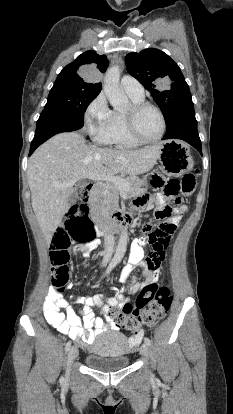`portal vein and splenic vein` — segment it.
<instances>
[{
  "instance_id": "portal-vein-and-splenic-vein-1",
  "label": "portal vein and splenic vein",
  "mask_w": 233,
  "mask_h": 414,
  "mask_svg": "<svg viewBox=\"0 0 233 414\" xmlns=\"http://www.w3.org/2000/svg\"><path fill=\"white\" fill-rule=\"evenodd\" d=\"M88 179L91 180H100L105 181L106 183L111 182L120 189L127 190L129 189V184L120 177L109 175V174H88L86 176Z\"/></svg>"
}]
</instances>
